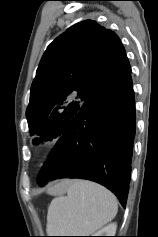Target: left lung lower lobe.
Returning <instances> with one entry per match:
<instances>
[{"label": "left lung lower lobe", "mask_w": 158, "mask_h": 237, "mask_svg": "<svg viewBox=\"0 0 158 237\" xmlns=\"http://www.w3.org/2000/svg\"><path fill=\"white\" fill-rule=\"evenodd\" d=\"M135 128L130 72L75 115L43 166L39 184L66 177L89 179L110 189L125 207Z\"/></svg>", "instance_id": "left-lung-lower-lobe-1"}]
</instances>
